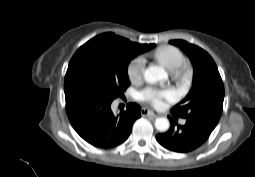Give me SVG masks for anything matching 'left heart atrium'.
<instances>
[{"label": "left heart atrium", "mask_w": 255, "mask_h": 177, "mask_svg": "<svg viewBox=\"0 0 255 177\" xmlns=\"http://www.w3.org/2000/svg\"><path fill=\"white\" fill-rule=\"evenodd\" d=\"M140 98L143 101L149 102L153 106L160 107L164 100H173L174 95L167 89L146 88L140 93Z\"/></svg>", "instance_id": "1"}]
</instances>
